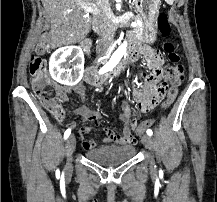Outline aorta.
I'll return each instance as SVG.
<instances>
[{"label": "aorta", "instance_id": "762f6f07", "mask_svg": "<svg viewBox=\"0 0 217 202\" xmlns=\"http://www.w3.org/2000/svg\"><path fill=\"white\" fill-rule=\"evenodd\" d=\"M126 50H127V42H123L120 48H118V50L114 52L112 56L113 60H115V62H120L121 58H123L124 54H126Z\"/></svg>", "mask_w": 217, "mask_h": 202}]
</instances>
